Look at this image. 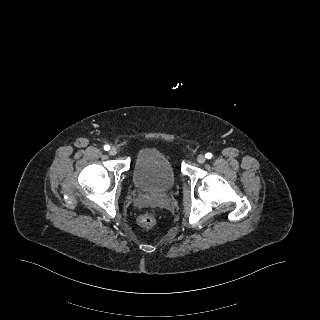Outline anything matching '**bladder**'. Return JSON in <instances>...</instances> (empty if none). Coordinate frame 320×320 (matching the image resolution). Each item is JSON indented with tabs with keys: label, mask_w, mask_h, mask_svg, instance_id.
Here are the masks:
<instances>
[{
	"label": "bladder",
	"mask_w": 320,
	"mask_h": 320,
	"mask_svg": "<svg viewBox=\"0 0 320 320\" xmlns=\"http://www.w3.org/2000/svg\"><path fill=\"white\" fill-rule=\"evenodd\" d=\"M133 181L142 192L162 193L171 190L176 175L169 158L156 148L141 149L134 163Z\"/></svg>",
	"instance_id": "1"
}]
</instances>
